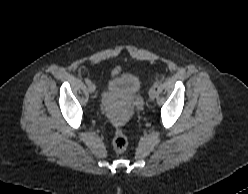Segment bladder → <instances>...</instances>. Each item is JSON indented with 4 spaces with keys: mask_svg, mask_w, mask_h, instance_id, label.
Listing matches in <instances>:
<instances>
[{
    "mask_svg": "<svg viewBox=\"0 0 248 194\" xmlns=\"http://www.w3.org/2000/svg\"><path fill=\"white\" fill-rule=\"evenodd\" d=\"M141 89L140 79L130 73L123 74L111 80L108 84V92L112 94L135 95Z\"/></svg>",
    "mask_w": 248,
    "mask_h": 194,
    "instance_id": "obj_1",
    "label": "bladder"
}]
</instances>
